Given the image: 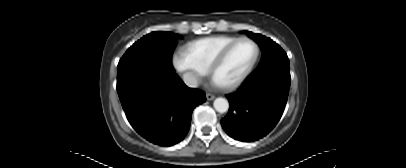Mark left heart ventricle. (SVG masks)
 <instances>
[{
	"label": "left heart ventricle",
	"instance_id": "obj_1",
	"mask_svg": "<svg viewBox=\"0 0 406 168\" xmlns=\"http://www.w3.org/2000/svg\"><path fill=\"white\" fill-rule=\"evenodd\" d=\"M254 54L255 48L250 42L237 44L217 71L215 81L225 84L234 80L247 67Z\"/></svg>",
	"mask_w": 406,
	"mask_h": 168
}]
</instances>
